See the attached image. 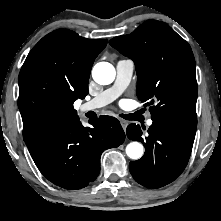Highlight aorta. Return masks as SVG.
Masks as SVG:
<instances>
[{"label":"aorta","instance_id":"aorta-1","mask_svg":"<svg viewBox=\"0 0 221 221\" xmlns=\"http://www.w3.org/2000/svg\"><path fill=\"white\" fill-rule=\"evenodd\" d=\"M115 68L108 62L97 63L92 70L95 82L101 85H108L115 79ZM126 154L133 160H138L143 155V146L139 142H131L126 147Z\"/></svg>","mask_w":221,"mask_h":221}]
</instances>
